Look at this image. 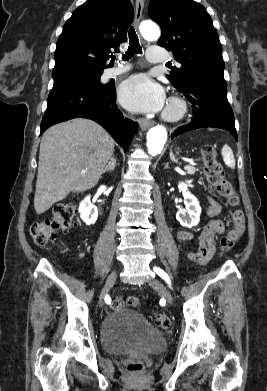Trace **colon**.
Listing matches in <instances>:
<instances>
[{"label":"colon","instance_id":"colon-1","mask_svg":"<svg viewBox=\"0 0 267 391\" xmlns=\"http://www.w3.org/2000/svg\"><path fill=\"white\" fill-rule=\"evenodd\" d=\"M204 161V172L208 183L226 198L230 205L236 206L239 198L233 185L225 179L221 164L217 160V152L213 145H206L202 149ZM77 208L74 203H59L52 209L51 216L38 220L31 226V235L38 246H45L55 240L58 232H67L75 227L74 218ZM245 231V214L242 210H235L232 214V228L220 240V250L225 253L230 251L235 243L241 238ZM140 300L136 296L117 297L112 302L115 309L123 306L137 308ZM150 320L158 327L169 330L171 327L170 318L161 313H153ZM131 373H140L144 369V363L140 359H133L127 366Z\"/></svg>","mask_w":267,"mask_h":391}]
</instances>
